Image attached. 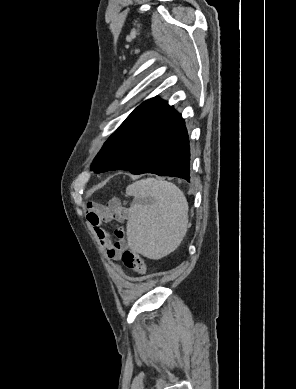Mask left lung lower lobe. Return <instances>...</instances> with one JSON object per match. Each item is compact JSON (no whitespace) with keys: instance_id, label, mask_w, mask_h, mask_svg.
I'll return each mask as SVG.
<instances>
[{"instance_id":"obj_1","label":"left lung lower lobe","mask_w":296,"mask_h":389,"mask_svg":"<svg viewBox=\"0 0 296 389\" xmlns=\"http://www.w3.org/2000/svg\"><path fill=\"white\" fill-rule=\"evenodd\" d=\"M95 173L127 170L190 182V142L182 116L158 97L139 105L97 154Z\"/></svg>"}]
</instances>
